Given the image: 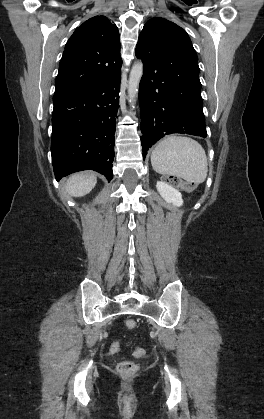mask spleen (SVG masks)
I'll return each instance as SVG.
<instances>
[{
	"label": "spleen",
	"instance_id": "obj_1",
	"mask_svg": "<svg viewBox=\"0 0 264 419\" xmlns=\"http://www.w3.org/2000/svg\"><path fill=\"white\" fill-rule=\"evenodd\" d=\"M151 164L159 174L195 184L204 182L208 172L205 150L196 140L184 136H168L160 141L151 153Z\"/></svg>",
	"mask_w": 264,
	"mask_h": 419
}]
</instances>
